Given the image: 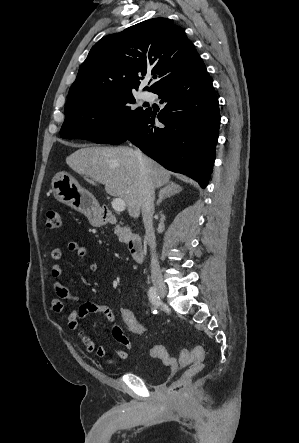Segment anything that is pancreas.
Segmentation results:
<instances>
[{"label": "pancreas", "instance_id": "1", "mask_svg": "<svg viewBox=\"0 0 299 443\" xmlns=\"http://www.w3.org/2000/svg\"><path fill=\"white\" fill-rule=\"evenodd\" d=\"M115 232L119 237L120 242H127L129 240L130 235L127 233V228H116Z\"/></svg>", "mask_w": 299, "mask_h": 443}]
</instances>
